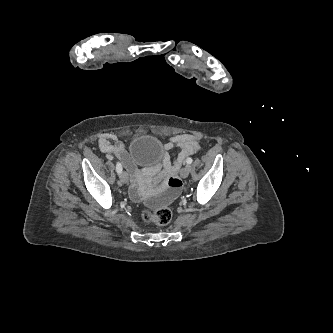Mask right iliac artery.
<instances>
[{
    "label": "right iliac artery",
    "instance_id": "right-iliac-artery-1",
    "mask_svg": "<svg viewBox=\"0 0 333 333\" xmlns=\"http://www.w3.org/2000/svg\"><path fill=\"white\" fill-rule=\"evenodd\" d=\"M116 171L118 174H120L122 172V165L120 162H117V164H116Z\"/></svg>",
    "mask_w": 333,
    "mask_h": 333
}]
</instances>
